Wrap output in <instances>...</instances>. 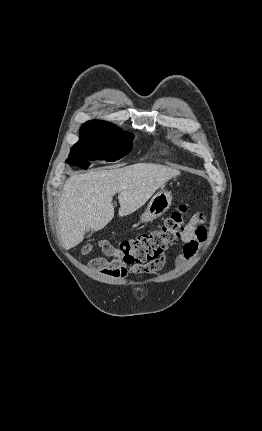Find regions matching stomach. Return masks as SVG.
<instances>
[{
    "instance_id": "0dacf381",
    "label": "stomach",
    "mask_w": 262,
    "mask_h": 431,
    "mask_svg": "<svg viewBox=\"0 0 262 431\" xmlns=\"http://www.w3.org/2000/svg\"><path fill=\"white\" fill-rule=\"evenodd\" d=\"M172 195L167 190L157 192L150 200L145 212L141 216L142 222H151L163 215L171 206Z\"/></svg>"
}]
</instances>
